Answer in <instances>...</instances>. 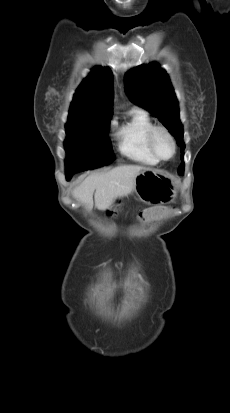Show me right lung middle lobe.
<instances>
[{"label":"right lung middle lobe","mask_w":230,"mask_h":413,"mask_svg":"<svg viewBox=\"0 0 230 413\" xmlns=\"http://www.w3.org/2000/svg\"><path fill=\"white\" fill-rule=\"evenodd\" d=\"M109 118L90 123L66 125L67 152L66 178L75 172L94 169L114 161L110 140L107 137Z\"/></svg>","instance_id":"right-lung-middle-lobe-1"}]
</instances>
